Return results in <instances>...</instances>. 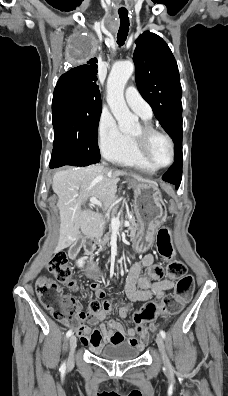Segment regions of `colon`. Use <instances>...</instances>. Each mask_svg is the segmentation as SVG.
Here are the masks:
<instances>
[{
	"instance_id": "5ec220e1",
	"label": "colon",
	"mask_w": 228,
	"mask_h": 396,
	"mask_svg": "<svg viewBox=\"0 0 228 396\" xmlns=\"http://www.w3.org/2000/svg\"><path fill=\"white\" fill-rule=\"evenodd\" d=\"M157 249L159 254L169 260L167 275L172 280H177L173 294L166 296L160 304L147 303L134 316L140 335L147 333V323L157 316H169L179 313L184 305L191 299L195 288L194 278L187 273L184 263L174 260L171 233L168 227H163L157 234ZM49 271L56 281L46 277H40L36 283V294L42 306L58 321L80 327L81 320L88 315H96L103 309V302L91 300L88 304L87 313L81 312L77 300L63 293L59 284L65 285L71 290L78 289L72 267L69 265L65 252H57L49 261Z\"/></svg>"
}]
</instances>
